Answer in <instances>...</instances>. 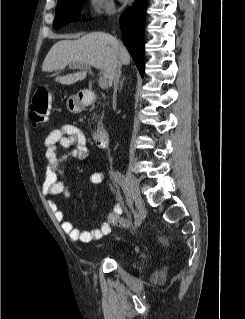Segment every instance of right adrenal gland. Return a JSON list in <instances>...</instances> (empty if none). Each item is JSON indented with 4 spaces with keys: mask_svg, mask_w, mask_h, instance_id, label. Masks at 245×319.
<instances>
[{
    "mask_svg": "<svg viewBox=\"0 0 245 319\" xmlns=\"http://www.w3.org/2000/svg\"><path fill=\"white\" fill-rule=\"evenodd\" d=\"M124 81H125V77H123V79L121 80V82H120V91L122 90V88H123V83H124Z\"/></svg>",
    "mask_w": 245,
    "mask_h": 319,
    "instance_id": "obj_1",
    "label": "right adrenal gland"
}]
</instances>
